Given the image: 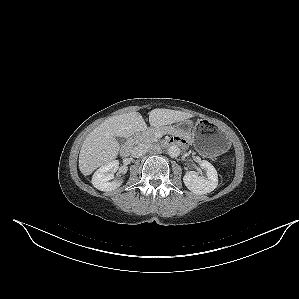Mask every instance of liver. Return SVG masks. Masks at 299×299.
<instances>
[{
  "mask_svg": "<svg viewBox=\"0 0 299 299\" xmlns=\"http://www.w3.org/2000/svg\"><path fill=\"white\" fill-rule=\"evenodd\" d=\"M188 112L154 109L149 113V123L161 127L192 118ZM147 125L139 112L124 113L110 117L91 131L85 138L80 154L79 169L84 176L90 175L99 166L114 160L120 150L116 137L128 138L145 131Z\"/></svg>",
  "mask_w": 299,
  "mask_h": 299,
  "instance_id": "liver-1",
  "label": "liver"
}]
</instances>
